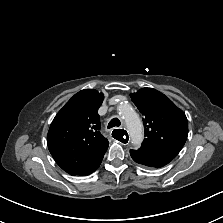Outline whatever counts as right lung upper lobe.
<instances>
[{"label": "right lung upper lobe", "mask_w": 223, "mask_h": 223, "mask_svg": "<svg viewBox=\"0 0 223 223\" xmlns=\"http://www.w3.org/2000/svg\"><path fill=\"white\" fill-rule=\"evenodd\" d=\"M104 96L94 89L75 94L52 121L47 144L56 163L70 175H81L98 165L108 148L100 134L98 109Z\"/></svg>", "instance_id": "cb5924a9"}]
</instances>
